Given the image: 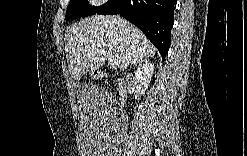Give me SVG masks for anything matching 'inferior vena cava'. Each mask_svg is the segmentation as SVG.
I'll use <instances>...</instances> for the list:
<instances>
[{
    "instance_id": "1",
    "label": "inferior vena cava",
    "mask_w": 247,
    "mask_h": 156,
    "mask_svg": "<svg viewBox=\"0 0 247 156\" xmlns=\"http://www.w3.org/2000/svg\"><path fill=\"white\" fill-rule=\"evenodd\" d=\"M129 66V63L128 64H126V68Z\"/></svg>"
}]
</instances>
